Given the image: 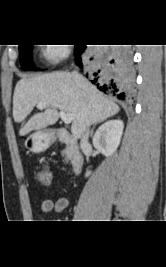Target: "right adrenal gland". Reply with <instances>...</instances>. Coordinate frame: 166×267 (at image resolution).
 <instances>
[{
	"label": "right adrenal gland",
	"mask_w": 166,
	"mask_h": 267,
	"mask_svg": "<svg viewBox=\"0 0 166 267\" xmlns=\"http://www.w3.org/2000/svg\"><path fill=\"white\" fill-rule=\"evenodd\" d=\"M95 126H96V124H95ZM95 126L93 127V129H92V131H91V134H93Z\"/></svg>",
	"instance_id": "2a0ac1e0"
}]
</instances>
